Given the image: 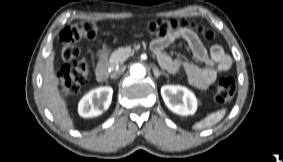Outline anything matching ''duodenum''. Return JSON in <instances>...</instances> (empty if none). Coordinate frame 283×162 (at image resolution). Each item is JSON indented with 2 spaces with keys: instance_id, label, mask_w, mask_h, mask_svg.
Instances as JSON below:
<instances>
[{
  "instance_id": "obj_1",
  "label": "duodenum",
  "mask_w": 283,
  "mask_h": 162,
  "mask_svg": "<svg viewBox=\"0 0 283 162\" xmlns=\"http://www.w3.org/2000/svg\"><path fill=\"white\" fill-rule=\"evenodd\" d=\"M95 76L98 82H104L109 76V70L107 66L106 54L102 53L99 57V62L96 67Z\"/></svg>"
}]
</instances>
